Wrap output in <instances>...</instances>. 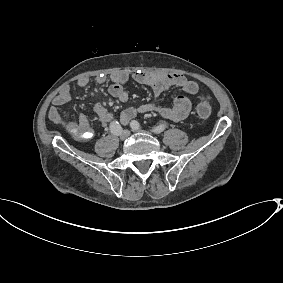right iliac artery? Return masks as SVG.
I'll list each match as a JSON object with an SVG mask.
<instances>
[{
  "label": "right iliac artery",
  "instance_id": "1",
  "mask_svg": "<svg viewBox=\"0 0 283 283\" xmlns=\"http://www.w3.org/2000/svg\"><path fill=\"white\" fill-rule=\"evenodd\" d=\"M110 131L111 133H113L114 135H119L122 132V127L120 126L119 122L117 121H113L110 124Z\"/></svg>",
  "mask_w": 283,
  "mask_h": 283
}]
</instances>
